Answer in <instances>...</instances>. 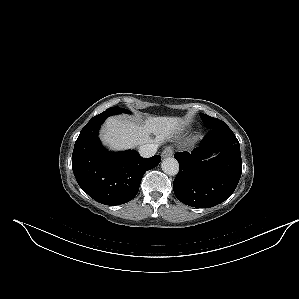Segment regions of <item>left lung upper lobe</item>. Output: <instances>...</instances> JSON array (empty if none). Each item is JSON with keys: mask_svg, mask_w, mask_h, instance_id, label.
Masks as SVG:
<instances>
[{"mask_svg": "<svg viewBox=\"0 0 299 299\" xmlns=\"http://www.w3.org/2000/svg\"><path fill=\"white\" fill-rule=\"evenodd\" d=\"M200 117L204 122L205 126L208 127L209 129H212L220 124H225L223 121H219L217 118H213L203 113H200Z\"/></svg>", "mask_w": 299, "mask_h": 299, "instance_id": "left-lung-upper-lobe-1", "label": "left lung upper lobe"}]
</instances>
